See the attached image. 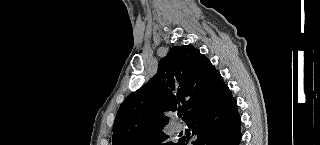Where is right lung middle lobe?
<instances>
[{
    "mask_svg": "<svg viewBox=\"0 0 320 145\" xmlns=\"http://www.w3.org/2000/svg\"><path fill=\"white\" fill-rule=\"evenodd\" d=\"M169 136L164 134L162 130L151 132L137 141H135L132 145H177V143L167 142ZM166 141V142H165ZM165 142V143H162Z\"/></svg>",
    "mask_w": 320,
    "mask_h": 145,
    "instance_id": "right-lung-middle-lobe-1",
    "label": "right lung middle lobe"
}]
</instances>
